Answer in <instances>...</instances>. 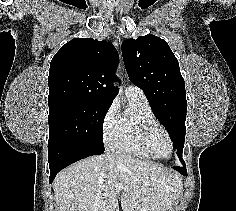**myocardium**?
<instances>
[{
    "mask_svg": "<svg viewBox=\"0 0 236 211\" xmlns=\"http://www.w3.org/2000/svg\"><path fill=\"white\" fill-rule=\"evenodd\" d=\"M156 130L162 131L168 139L170 150L166 156L155 154L149 147V144H148L149 137ZM135 143L145 154L151 156L154 159H161V160L167 159L171 156L174 150V143H173L170 133L160 123H149L141 127L135 135Z\"/></svg>",
    "mask_w": 236,
    "mask_h": 211,
    "instance_id": "obj_1",
    "label": "myocardium"
}]
</instances>
